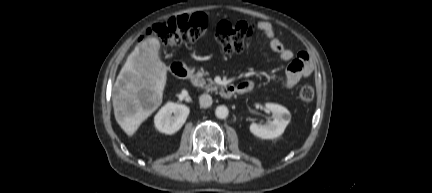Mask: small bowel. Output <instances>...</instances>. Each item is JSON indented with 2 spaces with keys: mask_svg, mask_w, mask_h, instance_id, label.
<instances>
[{
  "mask_svg": "<svg viewBox=\"0 0 432 193\" xmlns=\"http://www.w3.org/2000/svg\"><path fill=\"white\" fill-rule=\"evenodd\" d=\"M252 26L267 37L271 50L276 53L282 61L289 63L284 79V85L287 89L293 88L302 78L308 77L313 72L314 66L309 54L304 51L295 54L293 51L286 48L276 37L275 29L271 23L258 21L253 23ZM253 86L254 84L252 81L244 80L237 85L238 92H248Z\"/></svg>",
  "mask_w": 432,
  "mask_h": 193,
  "instance_id": "1",
  "label": "small bowel"
}]
</instances>
